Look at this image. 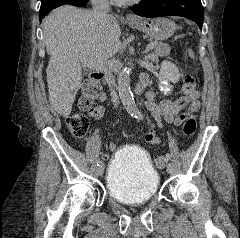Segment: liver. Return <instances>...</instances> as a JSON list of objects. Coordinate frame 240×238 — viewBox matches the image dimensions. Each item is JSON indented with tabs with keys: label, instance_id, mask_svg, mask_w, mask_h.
<instances>
[{
	"label": "liver",
	"instance_id": "6515ba94",
	"mask_svg": "<svg viewBox=\"0 0 240 238\" xmlns=\"http://www.w3.org/2000/svg\"><path fill=\"white\" fill-rule=\"evenodd\" d=\"M43 35L51 56L46 69L49 102L58 114L67 118L81 87L80 57L107 61L120 49L121 30L113 16L100 21L90 11L65 5L44 19Z\"/></svg>",
	"mask_w": 240,
	"mask_h": 238
}]
</instances>
